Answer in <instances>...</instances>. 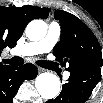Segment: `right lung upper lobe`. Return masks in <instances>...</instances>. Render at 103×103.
<instances>
[{
    "label": "right lung upper lobe",
    "instance_id": "obj_1",
    "mask_svg": "<svg viewBox=\"0 0 103 103\" xmlns=\"http://www.w3.org/2000/svg\"><path fill=\"white\" fill-rule=\"evenodd\" d=\"M49 8L34 6H0V53L5 47L13 48L21 37L26 25L36 18H47ZM0 63V68L3 67Z\"/></svg>",
    "mask_w": 103,
    "mask_h": 103
}]
</instances>
